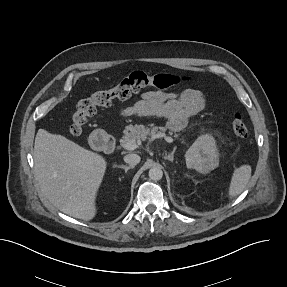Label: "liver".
Segmentation results:
<instances>
[{
    "label": "liver",
    "mask_w": 287,
    "mask_h": 287,
    "mask_svg": "<svg viewBox=\"0 0 287 287\" xmlns=\"http://www.w3.org/2000/svg\"><path fill=\"white\" fill-rule=\"evenodd\" d=\"M42 194L56 208L89 221L96 216V196L106 159L62 135L39 129L33 153Z\"/></svg>",
    "instance_id": "obj_1"
}]
</instances>
